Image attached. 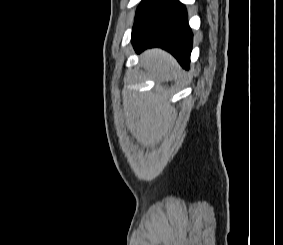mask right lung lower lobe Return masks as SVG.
Segmentation results:
<instances>
[{
	"label": "right lung lower lobe",
	"instance_id": "obj_1",
	"mask_svg": "<svg viewBox=\"0 0 283 245\" xmlns=\"http://www.w3.org/2000/svg\"><path fill=\"white\" fill-rule=\"evenodd\" d=\"M192 36L183 4L178 0H154L136 16L131 40L138 53L148 47H161L188 69Z\"/></svg>",
	"mask_w": 283,
	"mask_h": 245
}]
</instances>
